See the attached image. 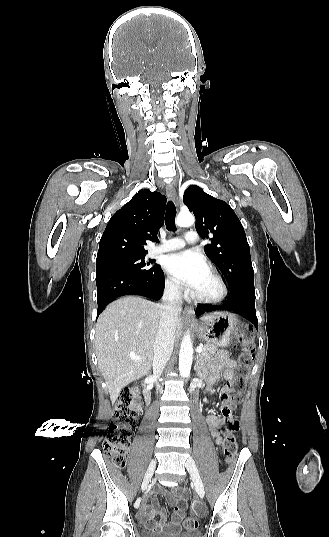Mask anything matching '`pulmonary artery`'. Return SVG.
<instances>
[{"label":"pulmonary artery","instance_id":"1","mask_svg":"<svg viewBox=\"0 0 329 537\" xmlns=\"http://www.w3.org/2000/svg\"><path fill=\"white\" fill-rule=\"evenodd\" d=\"M198 242V235L195 231H188L184 239L172 238L164 242L153 250L154 254L171 252L183 248L186 244L194 245Z\"/></svg>","mask_w":329,"mask_h":537}]
</instances>
